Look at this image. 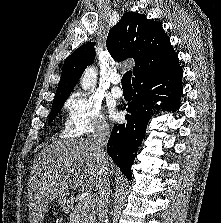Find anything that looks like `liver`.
Returning <instances> with one entry per match:
<instances>
[{
    "instance_id": "1",
    "label": "liver",
    "mask_w": 221,
    "mask_h": 223,
    "mask_svg": "<svg viewBox=\"0 0 221 223\" xmlns=\"http://www.w3.org/2000/svg\"><path fill=\"white\" fill-rule=\"evenodd\" d=\"M100 175L92 140H58L44 147L33 162L28 183L30 223H42L49 203L72 189L97 190Z\"/></svg>"
}]
</instances>
